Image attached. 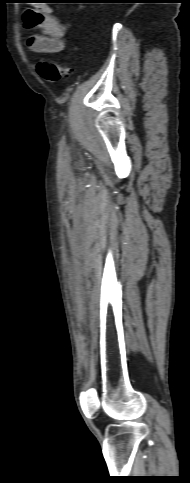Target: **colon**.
I'll return each mask as SVG.
<instances>
[{"label":"colon","instance_id":"obj_1","mask_svg":"<svg viewBox=\"0 0 190 483\" xmlns=\"http://www.w3.org/2000/svg\"><path fill=\"white\" fill-rule=\"evenodd\" d=\"M37 73L46 81L56 83L66 78L70 72L63 64L49 61H40L36 66Z\"/></svg>","mask_w":190,"mask_h":483}]
</instances>
